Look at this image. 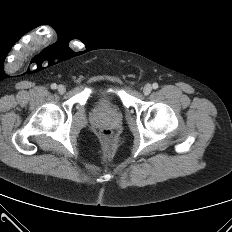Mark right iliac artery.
<instances>
[{
    "label": "right iliac artery",
    "mask_w": 232,
    "mask_h": 232,
    "mask_svg": "<svg viewBox=\"0 0 232 232\" xmlns=\"http://www.w3.org/2000/svg\"><path fill=\"white\" fill-rule=\"evenodd\" d=\"M51 88L52 89H56L57 88V85L55 83L51 84Z\"/></svg>",
    "instance_id": "82829eb1"
}]
</instances>
